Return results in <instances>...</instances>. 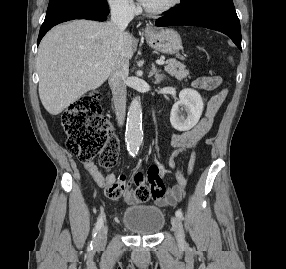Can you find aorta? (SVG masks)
<instances>
[{"label":"aorta","instance_id":"762f6f07","mask_svg":"<svg viewBox=\"0 0 286 269\" xmlns=\"http://www.w3.org/2000/svg\"><path fill=\"white\" fill-rule=\"evenodd\" d=\"M125 137L128 152L136 155L143 141L142 108L138 97H135L129 106Z\"/></svg>","mask_w":286,"mask_h":269}]
</instances>
